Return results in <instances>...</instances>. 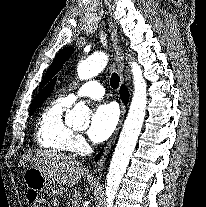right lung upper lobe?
<instances>
[{
    "instance_id": "obj_1",
    "label": "right lung upper lobe",
    "mask_w": 206,
    "mask_h": 207,
    "mask_svg": "<svg viewBox=\"0 0 206 207\" xmlns=\"http://www.w3.org/2000/svg\"><path fill=\"white\" fill-rule=\"evenodd\" d=\"M55 82H56V80L53 79L49 83V85L36 96L30 109L37 108L39 105H41L47 99V97L50 95L51 91L53 90Z\"/></svg>"
}]
</instances>
